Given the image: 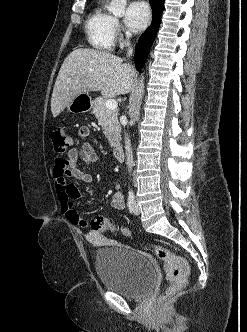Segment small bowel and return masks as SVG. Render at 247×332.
<instances>
[{
  "label": "small bowel",
  "instance_id": "obj_1",
  "mask_svg": "<svg viewBox=\"0 0 247 332\" xmlns=\"http://www.w3.org/2000/svg\"><path fill=\"white\" fill-rule=\"evenodd\" d=\"M89 133L90 130L87 126L80 127L79 135L81 138L85 139ZM80 159L90 166H94L98 163L97 154L88 142H83L79 149H71L67 153L66 158H56L53 168V177L57 197L66 218L73 225L88 230V234L91 235L93 230L89 229V222L83 218L73 206V199L81 196V193L74 185H71L67 182L68 177H73L76 180L85 183H90L92 181L91 174L81 170L77 166V163ZM124 205V195L120 191L118 185L113 183L111 206L115 210H122Z\"/></svg>",
  "mask_w": 247,
  "mask_h": 332
}]
</instances>
